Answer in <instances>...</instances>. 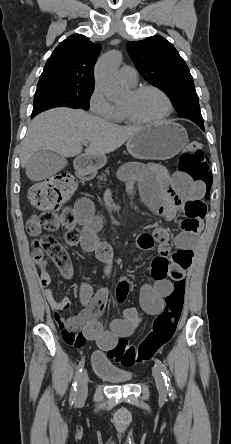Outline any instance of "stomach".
<instances>
[{"instance_id":"1","label":"stomach","mask_w":231,"mask_h":444,"mask_svg":"<svg viewBox=\"0 0 231 444\" xmlns=\"http://www.w3.org/2000/svg\"><path fill=\"white\" fill-rule=\"evenodd\" d=\"M186 130L178 123L165 121L143 127L127 141V150L134 158L145 160H167L177 155L187 144ZM106 163L105 156H80L76 169L93 173Z\"/></svg>"}]
</instances>
